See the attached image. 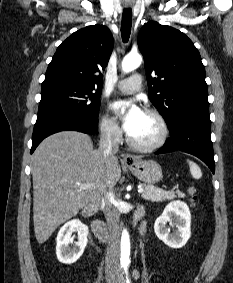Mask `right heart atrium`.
<instances>
[{
	"label": "right heart atrium",
	"instance_id": "obj_1",
	"mask_svg": "<svg viewBox=\"0 0 233 283\" xmlns=\"http://www.w3.org/2000/svg\"><path fill=\"white\" fill-rule=\"evenodd\" d=\"M101 134L108 140L117 141L121 136V129L116 120L108 114H103L99 121Z\"/></svg>",
	"mask_w": 233,
	"mask_h": 283
}]
</instances>
